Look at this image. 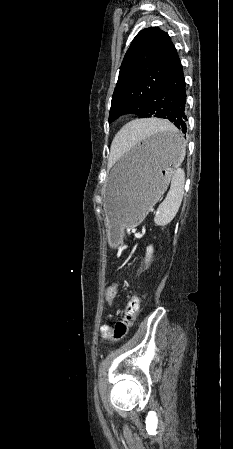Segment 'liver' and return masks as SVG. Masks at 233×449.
Wrapping results in <instances>:
<instances>
[{"label": "liver", "instance_id": "1", "mask_svg": "<svg viewBox=\"0 0 233 449\" xmlns=\"http://www.w3.org/2000/svg\"><path fill=\"white\" fill-rule=\"evenodd\" d=\"M138 122H140L141 124L138 125ZM154 123L155 124H160V125H162L164 127H167V128L172 127V125L170 123H168L166 121H162V120H156V119H144V120L131 122L128 125H126L119 133L115 134V139H114V141L112 143V149H111L112 154L117 156V151L122 146V144L124 142H129L130 141V136L135 135L136 132L139 131V129L142 126H149V125L154 124Z\"/></svg>", "mask_w": 233, "mask_h": 449}]
</instances>
